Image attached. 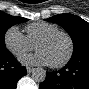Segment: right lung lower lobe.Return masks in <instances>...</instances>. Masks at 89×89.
I'll use <instances>...</instances> for the list:
<instances>
[{"label": "right lung lower lobe", "mask_w": 89, "mask_h": 89, "mask_svg": "<svg viewBox=\"0 0 89 89\" xmlns=\"http://www.w3.org/2000/svg\"><path fill=\"white\" fill-rule=\"evenodd\" d=\"M26 73V68L8 50L0 53V89H15Z\"/></svg>", "instance_id": "obj_1"}]
</instances>
